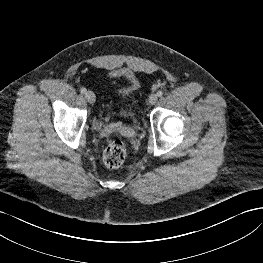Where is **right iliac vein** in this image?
Wrapping results in <instances>:
<instances>
[{"label": "right iliac vein", "mask_w": 263, "mask_h": 263, "mask_svg": "<svg viewBox=\"0 0 263 263\" xmlns=\"http://www.w3.org/2000/svg\"><path fill=\"white\" fill-rule=\"evenodd\" d=\"M85 99L87 100V102L92 104L95 102L96 96L92 91H87L85 93Z\"/></svg>", "instance_id": "63e3f726"}]
</instances>
